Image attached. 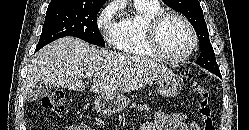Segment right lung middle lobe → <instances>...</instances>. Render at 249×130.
<instances>
[{"label":"right lung middle lobe","mask_w":249,"mask_h":130,"mask_svg":"<svg viewBox=\"0 0 249 130\" xmlns=\"http://www.w3.org/2000/svg\"><path fill=\"white\" fill-rule=\"evenodd\" d=\"M103 5L56 3L48 6L36 51L65 36H73L104 47L97 25V13Z\"/></svg>","instance_id":"1"}]
</instances>
